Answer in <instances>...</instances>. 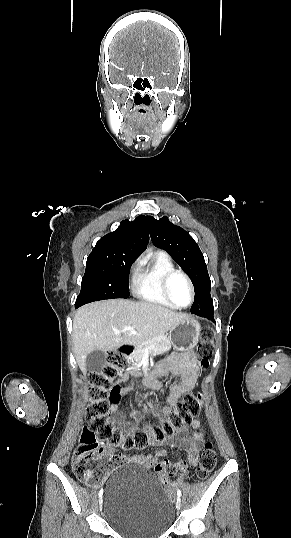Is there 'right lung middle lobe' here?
<instances>
[{"mask_svg":"<svg viewBox=\"0 0 291 538\" xmlns=\"http://www.w3.org/2000/svg\"><path fill=\"white\" fill-rule=\"evenodd\" d=\"M135 259L126 255L90 254L75 308L98 300L128 298V276Z\"/></svg>","mask_w":291,"mask_h":538,"instance_id":"obj_1","label":"right lung middle lobe"}]
</instances>
